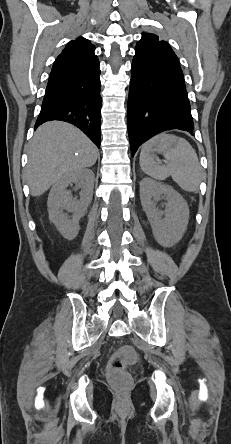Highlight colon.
Returning <instances> with one entry per match:
<instances>
[{
  "mask_svg": "<svg viewBox=\"0 0 231 444\" xmlns=\"http://www.w3.org/2000/svg\"><path fill=\"white\" fill-rule=\"evenodd\" d=\"M136 358V353L131 346L120 347L110 358L108 363V379L118 390L128 389L132 383L131 376L127 372V366Z\"/></svg>",
  "mask_w": 231,
  "mask_h": 444,
  "instance_id": "5ec220e1",
  "label": "colon"
}]
</instances>
